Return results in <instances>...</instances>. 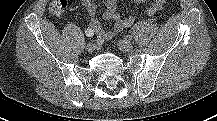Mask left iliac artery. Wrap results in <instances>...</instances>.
Returning <instances> with one entry per match:
<instances>
[{"mask_svg": "<svg viewBox=\"0 0 217 121\" xmlns=\"http://www.w3.org/2000/svg\"><path fill=\"white\" fill-rule=\"evenodd\" d=\"M148 23L145 21H139L137 22L131 29L130 34L127 36L128 38H132V35L137 33L139 30H141L144 26H146Z\"/></svg>", "mask_w": 217, "mask_h": 121, "instance_id": "left-iliac-artery-1", "label": "left iliac artery"}]
</instances>
